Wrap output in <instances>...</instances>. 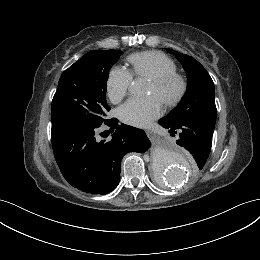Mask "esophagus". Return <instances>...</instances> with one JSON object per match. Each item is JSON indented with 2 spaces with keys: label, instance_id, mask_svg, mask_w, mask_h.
Segmentation results:
<instances>
[{
  "label": "esophagus",
  "instance_id": "obj_1",
  "mask_svg": "<svg viewBox=\"0 0 260 260\" xmlns=\"http://www.w3.org/2000/svg\"><path fill=\"white\" fill-rule=\"evenodd\" d=\"M146 133L152 141H155L157 139V135L152 130L148 129Z\"/></svg>",
  "mask_w": 260,
  "mask_h": 260
}]
</instances>
